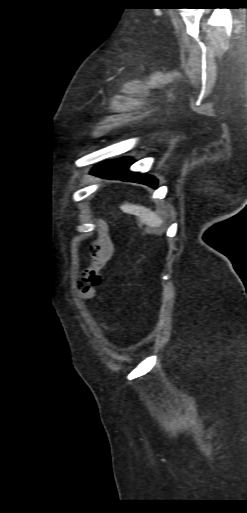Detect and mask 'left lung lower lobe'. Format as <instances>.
Returning <instances> with one entry per match:
<instances>
[{
  "instance_id": "obj_1",
  "label": "left lung lower lobe",
  "mask_w": 247,
  "mask_h": 513,
  "mask_svg": "<svg viewBox=\"0 0 247 513\" xmlns=\"http://www.w3.org/2000/svg\"><path fill=\"white\" fill-rule=\"evenodd\" d=\"M131 164L132 161L127 158L103 162L92 170V174L105 178L142 183L157 188V180L153 176L130 172L128 168Z\"/></svg>"
}]
</instances>
